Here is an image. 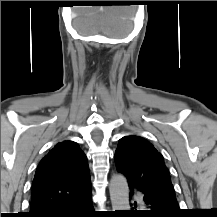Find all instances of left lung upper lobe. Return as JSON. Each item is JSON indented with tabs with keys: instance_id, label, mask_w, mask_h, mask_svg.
<instances>
[{
	"instance_id": "obj_1",
	"label": "left lung upper lobe",
	"mask_w": 217,
	"mask_h": 217,
	"mask_svg": "<svg viewBox=\"0 0 217 217\" xmlns=\"http://www.w3.org/2000/svg\"><path fill=\"white\" fill-rule=\"evenodd\" d=\"M117 170L123 173L131 190L167 202L178 210L175 190L162 155L146 139L125 136L115 152Z\"/></svg>"
}]
</instances>
